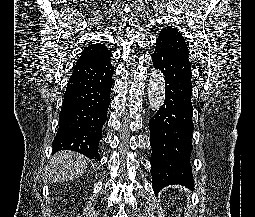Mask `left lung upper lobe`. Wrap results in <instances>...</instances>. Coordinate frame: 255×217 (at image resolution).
Here are the masks:
<instances>
[{
    "label": "left lung upper lobe",
    "mask_w": 255,
    "mask_h": 217,
    "mask_svg": "<svg viewBox=\"0 0 255 217\" xmlns=\"http://www.w3.org/2000/svg\"><path fill=\"white\" fill-rule=\"evenodd\" d=\"M156 46L189 60V50L182 33L171 26L164 27L160 30L156 40Z\"/></svg>",
    "instance_id": "5c2ea615"
}]
</instances>
